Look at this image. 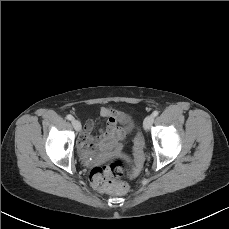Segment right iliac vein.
<instances>
[{
  "label": "right iliac vein",
  "instance_id": "right-iliac-vein-1",
  "mask_svg": "<svg viewBox=\"0 0 229 229\" xmlns=\"http://www.w3.org/2000/svg\"><path fill=\"white\" fill-rule=\"evenodd\" d=\"M72 125H73V127H74V129H75L76 131H80V130H81V123H80L79 120L73 119V120H72Z\"/></svg>",
  "mask_w": 229,
  "mask_h": 229
}]
</instances>
